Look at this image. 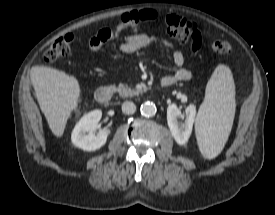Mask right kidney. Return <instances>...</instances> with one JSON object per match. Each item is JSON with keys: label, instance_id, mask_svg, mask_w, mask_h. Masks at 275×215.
<instances>
[{"label": "right kidney", "instance_id": "obj_1", "mask_svg": "<svg viewBox=\"0 0 275 215\" xmlns=\"http://www.w3.org/2000/svg\"><path fill=\"white\" fill-rule=\"evenodd\" d=\"M101 116V110H93L79 120L71 134L72 143L76 147L84 151H95L106 143L110 130H101L97 135L93 133Z\"/></svg>", "mask_w": 275, "mask_h": 215}]
</instances>
